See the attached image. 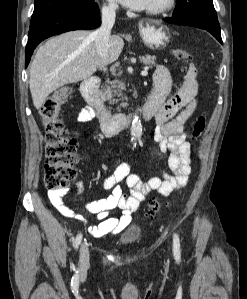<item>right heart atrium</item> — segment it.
<instances>
[{
	"mask_svg": "<svg viewBox=\"0 0 247 299\" xmlns=\"http://www.w3.org/2000/svg\"><path fill=\"white\" fill-rule=\"evenodd\" d=\"M116 5L112 2V0H108V2L103 3L102 5V13L104 16L111 17L115 14Z\"/></svg>",
	"mask_w": 247,
	"mask_h": 299,
	"instance_id": "right-heart-atrium-1",
	"label": "right heart atrium"
}]
</instances>
